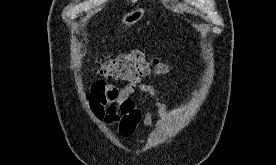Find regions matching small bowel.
<instances>
[{"instance_id": "small-bowel-1", "label": "small bowel", "mask_w": 276, "mask_h": 165, "mask_svg": "<svg viewBox=\"0 0 276 165\" xmlns=\"http://www.w3.org/2000/svg\"><path fill=\"white\" fill-rule=\"evenodd\" d=\"M167 63H158L152 73L153 77L166 75L172 71ZM143 91L151 95L157 102V115L164 113V103L160 92L152 85L144 83L142 77L129 80L124 86L117 87L103 80L92 83L87 97L89 108L96 118L110 126H116L123 138L132 136L138 125L150 128L154 124L151 108L145 105L139 107L133 95Z\"/></svg>"}]
</instances>
